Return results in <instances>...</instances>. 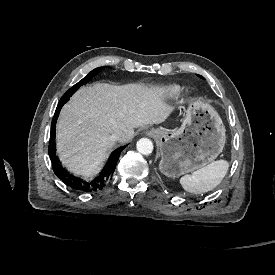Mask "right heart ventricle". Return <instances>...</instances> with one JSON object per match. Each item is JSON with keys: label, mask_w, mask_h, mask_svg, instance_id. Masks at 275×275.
<instances>
[{"label": "right heart ventricle", "mask_w": 275, "mask_h": 275, "mask_svg": "<svg viewBox=\"0 0 275 275\" xmlns=\"http://www.w3.org/2000/svg\"><path fill=\"white\" fill-rule=\"evenodd\" d=\"M178 91L179 88L177 86H166L162 88V92L168 97H175Z\"/></svg>", "instance_id": "1"}]
</instances>
